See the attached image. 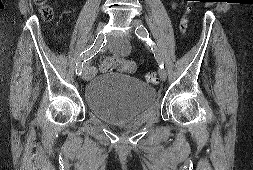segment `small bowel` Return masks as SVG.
Returning a JSON list of instances; mask_svg holds the SVG:
<instances>
[{
    "label": "small bowel",
    "instance_id": "1",
    "mask_svg": "<svg viewBox=\"0 0 253 170\" xmlns=\"http://www.w3.org/2000/svg\"><path fill=\"white\" fill-rule=\"evenodd\" d=\"M173 5L175 6V3ZM119 46L124 51H126L128 49V43L125 41L120 42ZM106 65H109V66L105 69L104 67ZM129 66H135V63L123 56H115V57L111 58L110 60L106 61L102 65V69L108 70V69L116 68V69H119L124 72H131L128 69ZM92 70H93L92 72L95 71V69H92Z\"/></svg>",
    "mask_w": 253,
    "mask_h": 170
}]
</instances>
